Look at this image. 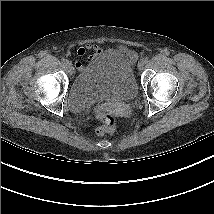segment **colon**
Instances as JSON below:
<instances>
[{
    "mask_svg": "<svg viewBox=\"0 0 214 214\" xmlns=\"http://www.w3.org/2000/svg\"><path fill=\"white\" fill-rule=\"evenodd\" d=\"M102 125L99 126L96 130V133L99 136H104L113 132L116 129V120L110 114H103L100 116Z\"/></svg>",
    "mask_w": 214,
    "mask_h": 214,
    "instance_id": "1",
    "label": "colon"
}]
</instances>
